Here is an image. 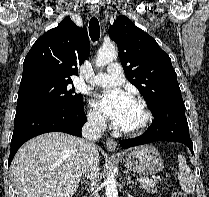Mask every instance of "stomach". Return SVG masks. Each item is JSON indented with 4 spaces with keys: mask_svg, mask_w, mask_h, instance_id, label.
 Instances as JSON below:
<instances>
[{
    "mask_svg": "<svg viewBox=\"0 0 209 197\" xmlns=\"http://www.w3.org/2000/svg\"><path fill=\"white\" fill-rule=\"evenodd\" d=\"M123 162L126 168L142 175H154L162 171L164 167L160 153L152 145H141L129 149Z\"/></svg>",
    "mask_w": 209,
    "mask_h": 197,
    "instance_id": "stomach-1",
    "label": "stomach"
}]
</instances>
